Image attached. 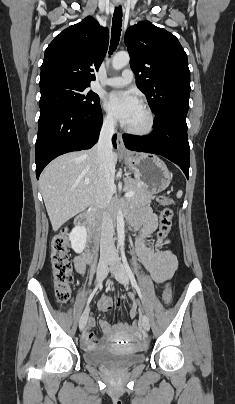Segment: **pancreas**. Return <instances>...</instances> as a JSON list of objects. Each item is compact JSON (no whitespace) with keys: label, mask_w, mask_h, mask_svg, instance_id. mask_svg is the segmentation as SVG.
Here are the masks:
<instances>
[{"label":"pancreas","mask_w":235,"mask_h":404,"mask_svg":"<svg viewBox=\"0 0 235 404\" xmlns=\"http://www.w3.org/2000/svg\"><path fill=\"white\" fill-rule=\"evenodd\" d=\"M125 186L128 191H133L134 196L127 199L132 205H140L144 203H149L155 196L148 191L146 185L135 179H126Z\"/></svg>","instance_id":"pancreas-1"}]
</instances>
